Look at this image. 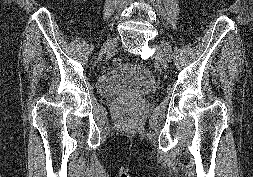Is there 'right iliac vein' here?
I'll return each mask as SVG.
<instances>
[{"mask_svg":"<svg viewBox=\"0 0 253 177\" xmlns=\"http://www.w3.org/2000/svg\"><path fill=\"white\" fill-rule=\"evenodd\" d=\"M116 45H117L116 38H111V39L107 40L105 42V44L103 45V47L101 48L99 56L101 57L104 53L114 49Z\"/></svg>","mask_w":253,"mask_h":177,"instance_id":"obj_1","label":"right iliac vein"}]
</instances>
